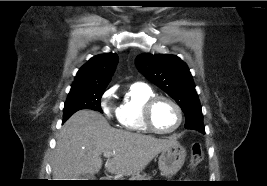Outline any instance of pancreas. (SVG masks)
I'll use <instances>...</instances> for the list:
<instances>
[{"label": "pancreas", "mask_w": 267, "mask_h": 186, "mask_svg": "<svg viewBox=\"0 0 267 186\" xmlns=\"http://www.w3.org/2000/svg\"><path fill=\"white\" fill-rule=\"evenodd\" d=\"M150 176L146 175V174H135L132 176L133 180H137V181H150Z\"/></svg>", "instance_id": "1"}]
</instances>
